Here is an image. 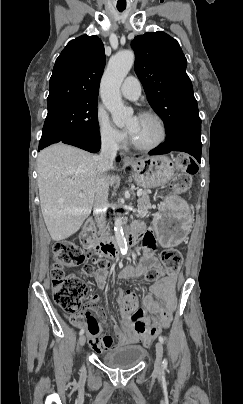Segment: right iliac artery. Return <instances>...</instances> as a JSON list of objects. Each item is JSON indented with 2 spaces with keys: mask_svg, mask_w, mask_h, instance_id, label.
Segmentation results:
<instances>
[{
  "mask_svg": "<svg viewBox=\"0 0 243 404\" xmlns=\"http://www.w3.org/2000/svg\"><path fill=\"white\" fill-rule=\"evenodd\" d=\"M83 333H84V330L81 329L80 332H79V335H83Z\"/></svg>",
  "mask_w": 243,
  "mask_h": 404,
  "instance_id": "1",
  "label": "right iliac artery"
}]
</instances>
